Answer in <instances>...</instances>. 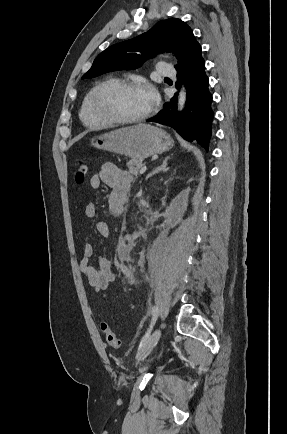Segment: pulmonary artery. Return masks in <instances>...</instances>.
Returning a JSON list of instances; mask_svg holds the SVG:
<instances>
[{"label": "pulmonary artery", "mask_w": 287, "mask_h": 434, "mask_svg": "<svg viewBox=\"0 0 287 434\" xmlns=\"http://www.w3.org/2000/svg\"><path fill=\"white\" fill-rule=\"evenodd\" d=\"M157 74L165 77H173L176 75L175 68L172 65L160 63L157 66Z\"/></svg>", "instance_id": "1"}]
</instances>
